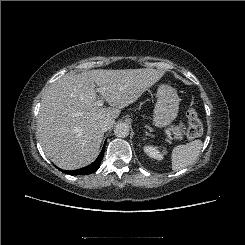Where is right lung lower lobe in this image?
Wrapping results in <instances>:
<instances>
[{
  "label": "right lung lower lobe",
  "instance_id": "obj_1",
  "mask_svg": "<svg viewBox=\"0 0 245 245\" xmlns=\"http://www.w3.org/2000/svg\"><path fill=\"white\" fill-rule=\"evenodd\" d=\"M104 148H105V145L103 146L102 151L99 154L98 158L92 164H90L84 168L74 170V171H68V172L63 171V172L71 174V175H86V174H91V173L95 172L101 164V160H102L103 155H104Z\"/></svg>",
  "mask_w": 245,
  "mask_h": 245
}]
</instances>
